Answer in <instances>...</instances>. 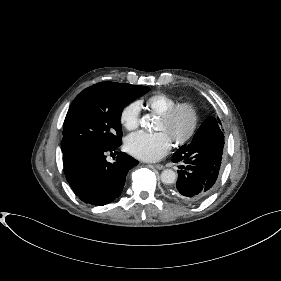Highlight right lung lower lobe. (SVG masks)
<instances>
[{
  "instance_id": "right-lung-lower-lobe-1",
  "label": "right lung lower lobe",
  "mask_w": 281,
  "mask_h": 281,
  "mask_svg": "<svg viewBox=\"0 0 281 281\" xmlns=\"http://www.w3.org/2000/svg\"><path fill=\"white\" fill-rule=\"evenodd\" d=\"M120 145L121 142L110 147L87 148L63 159L66 179L83 202L102 206L121 194L128 171L138 161L119 153L114 163L107 162L105 153Z\"/></svg>"
}]
</instances>
